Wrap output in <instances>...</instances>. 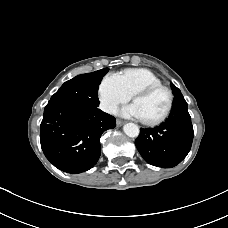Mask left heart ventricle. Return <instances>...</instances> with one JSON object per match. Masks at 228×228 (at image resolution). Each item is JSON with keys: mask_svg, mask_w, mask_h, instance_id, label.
Here are the masks:
<instances>
[{"mask_svg": "<svg viewBox=\"0 0 228 228\" xmlns=\"http://www.w3.org/2000/svg\"><path fill=\"white\" fill-rule=\"evenodd\" d=\"M168 103V95L164 90L155 91L147 96L134 100L142 119H154L161 115Z\"/></svg>", "mask_w": 228, "mask_h": 228, "instance_id": "1", "label": "left heart ventricle"}]
</instances>
